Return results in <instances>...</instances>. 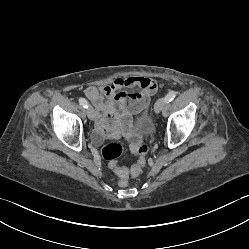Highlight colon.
Instances as JSON below:
<instances>
[{
	"mask_svg": "<svg viewBox=\"0 0 249 249\" xmlns=\"http://www.w3.org/2000/svg\"><path fill=\"white\" fill-rule=\"evenodd\" d=\"M152 87H156V83H153ZM124 148L119 143H110L105 145L101 154L105 160L109 162V167L113 170L119 177V185L125 187L128 185L129 174L131 176H138L146 163V155L148 152V147L144 142V139L139 137L131 144V151L138 155V163L127 170L123 168L118 162L117 158L121 156Z\"/></svg>",
	"mask_w": 249,
	"mask_h": 249,
	"instance_id": "obj_1",
	"label": "colon"
}]
</instances>
